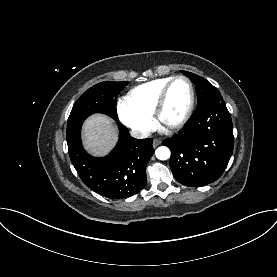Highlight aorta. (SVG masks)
Segmentation results:
<instances>
[{"label":"aorta","instance_id":"aorta-1","mask_svg":"<svg viewBox=\"0 0 277 277\" xmlns=\"http://www.w3.org/2000/svg\"><path fill=\"white\" fill-rule=\"evenodd\" d=\"M155 154L159 160H167L170 157V150L166 146H160L156 149Z\"/></svg>","mask_w":277,"mask_h":277}]
</instances>
